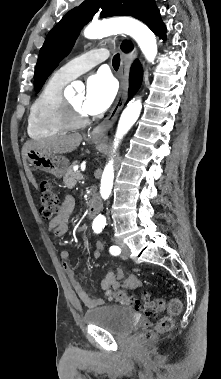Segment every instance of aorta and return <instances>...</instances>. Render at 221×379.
Returning <instances> with one entry per match:
<instances>
[{
    "label": "aorta",
    "mask_w": 221,
    "mask_h": 379,
    "mask_svg": "<svg viewBox=\"0 0 221 379\" xmlns=\"http://www.w3.org/2000/svg\"><path fill=\"white\" fill-rule=\"evenodd\" d=\"M118 33L130 35L138 43L145 58L149 62L154 61L157 55L156 37L146 25L134 18L120 17L97 23H91L84 30V36L88 39H97ZM141 109V99H133L123 110L113 142L114 151L117 149L124 135L130 130L138 119ZM113 180L114 161L111 159L106 164L101 178L100 195L104 200L108 199L111 194ZM105 223L106 219L101 214H99L93 222V224L97 227H103Z\"/></svg>",
    "instance_id": "762f6f07"
}]
</instances>
